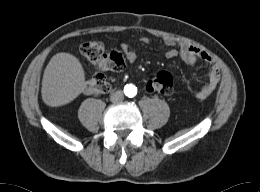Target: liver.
Instances as JSON below:
<instances>
[{"instance_id":"1","label":"liver","mask_w":260,"mask_h":192,"mask_svg":"<svg viewBox=\"0 0 260 192\" xmlns=\"http://www.w3.org/2000/svg\"><path fill=\"white\" fill-rule=\"evenodd\" d=\"M85 87V72L72 54H55L46 66L42 79V99L51 107L62 106L77 98Z\"/></svg>"}]
</instances>
